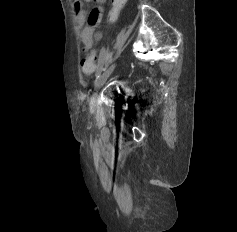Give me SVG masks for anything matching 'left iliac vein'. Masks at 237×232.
I'll return each instance as SVG.
<instances>
[{"label":"left iliac vein","instance_id":"4c4485c4","mask_svg":"<svg viewBox=\"0 0 237 232\" xmlns=\"http://www.w3.org/2000/svg\"><path fill=\"white\" fill-rule=\"evenodd\" d=\"M116 67V63L112 64L109 68H107L106 70H104V72L97 78L96 82H95V88L96 89H100L104 83L106 82V80L108 79V77L111 75V73L114 71ZM95 101H96V97L95 95L91 98L90 101V105L91 108H94L95 105Z\"/></svg>","mask_w":237,"mask_h":232}]
</instances>
